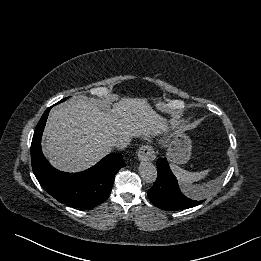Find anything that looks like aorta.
<instances>
[{
    "label": "aorta",
    "mask_w": 261,
    "mask_h": 261,
    "mask_svg": "<svg viewBox=\"0 0 261 261\" xmlns=\"http://www.w3.org/2000/svg\"><path fill=\"white\" fill-rule=\"evenodd\" d=\"M139 174L147 183H154L157 179V169L151 162H142L139 166Z\"/></svg>",
    "instance_id": "1"
}]
</instances>
